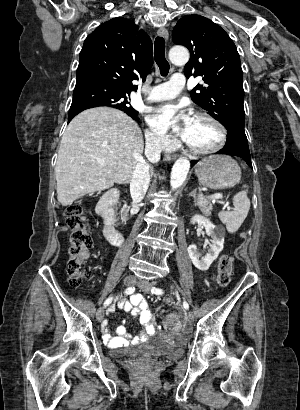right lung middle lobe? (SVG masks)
<instances>
[{
    "mask_svg": "<svg viewBox=\"0 0 300 410\" xmlns=\"http://www.w3.org/2000/svg\"><path fill=\"white\" fill-rule=\"evenodd\" d=\"M130 94L97 83H77L73 91V100L69 115L97 106H110L137 116L129 102Z\"/></svg>",
    "mask_w": 300,
    "mask_h": 410,
    "instance_id": "1",
    "label": "right lung middle lobe"
}]
</instances>
